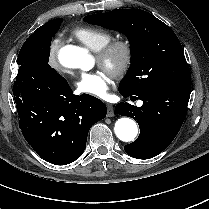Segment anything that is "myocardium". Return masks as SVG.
<instances>
[{"label": "myocardium", "instance_id": "obj_1", "mask_svg": "<svg viewBox=\"0 0 209 209\" xmlns=\"http://www.w3.org/2000/svg\"><path fill=\"white\" fill-rule=\"evenodd\" d=\"M98 63L114 78L123 76L133 59V46L123 38H114L96 52Z\"/></svg>", "mask_w": 209, "mask_h": 209}]
</instances>
